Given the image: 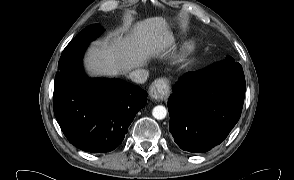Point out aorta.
Listing matches in <instances>:
<instances>
[{
  "label": "aorta",
  "mask_w": 294,
  "mask_h": 180,
  "mask_svg": "<svg viewBox=\"0 0 294 180\" xmlns=\"http://www.w3.org/2000/svg\"><path fill=\"white\" fill-rule=\"evenodd\" d=\"M152 115L155 119L162 120L166 117L167 110L164 106L158 105L153 108Z\"/></svg>",
  "instance_id": "1"
}]
</instances>
